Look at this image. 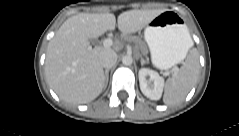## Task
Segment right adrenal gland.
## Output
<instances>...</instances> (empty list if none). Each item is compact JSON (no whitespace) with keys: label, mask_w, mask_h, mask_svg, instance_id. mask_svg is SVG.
Returning a JSON list of instances; mask_svg holds the SVG:
<instances>
[{"label":"right adrenal gland","mask_w":239,"mask_h":136,"mask_svg":"<svg viewBox=\"0 0 239 136\" xmlns=\"http://www.w3.org/2000/svg\"><path fill=\"white\" fill-rule=\"evenodd\" d=\"M109 71H110V68H108V69L105 70V87H107V84H108Z\"/></svg>","instance_id":"right-adrenal-gland-1"}]
</instances>
